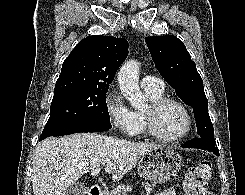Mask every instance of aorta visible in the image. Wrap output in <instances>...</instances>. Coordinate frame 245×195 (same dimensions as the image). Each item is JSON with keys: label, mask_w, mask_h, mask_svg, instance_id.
<instances>
[{"label": "aorta", "mask_w": 245, "mask_h": 195, "mask_svg": "<svg viewBox=\"0 0 245 195\" xmlns=\"http://www.w3.org/2000/svg\"><path fill=\"white\" fill-rule=\"evenodd\" d=\"M118 84L121 93L135 108H141L145 99L139 87V63L136 60L125 62L118 73Z\"/></svg>", "instance_id": "obj_1"}]
</instances>
